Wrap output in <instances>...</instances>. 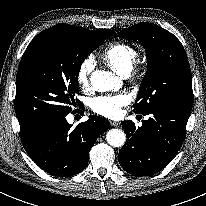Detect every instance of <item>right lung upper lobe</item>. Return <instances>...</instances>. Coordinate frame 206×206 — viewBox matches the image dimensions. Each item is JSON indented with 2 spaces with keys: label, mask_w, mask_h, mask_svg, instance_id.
<instances>
[{
  "label": "right lung upper lobe",
  "mask_w": 206,
  "mask_h": 206,
  "mask_svg": "<svg viewBox=\"0 0 206 206\" xmlns=\"http://www.w3.org/2000/svg\"><path fill=\"white\" fill-rule=\"evenodd\" d=\"M56 26H59V27H64V28H68V29H71V30H74L76 32H79V33H83L85 35H93L101 30H88V29H85V28H82V27H77V26H73V25H68V24H59V25H56Z\"/></svg>",
  "instance_id": "obj_1"
}]
</instances>
